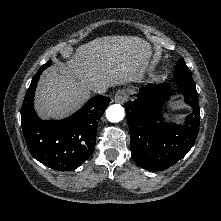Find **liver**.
<instances>
[{
	"mask_svg": "<svg viewBox=\"0 0 221 221\" xmlns=\"http://www.w3.org/2000/svg\"><path fill=\"white\" fill-rule=\"evenodd\" d=\"M151 54V45L136 36H107L81 45L67 54L66 65L41 77L35 109L43 119L66 117L91 91L141 78Z\"/></svg>",
	"mask_w": 221,
	"mask_h": 221,
	"instance_id": "obj_1",
	"label": "liver"
}]
</instances>
